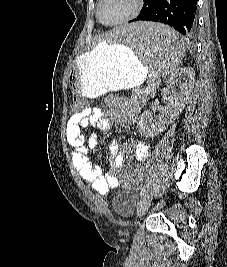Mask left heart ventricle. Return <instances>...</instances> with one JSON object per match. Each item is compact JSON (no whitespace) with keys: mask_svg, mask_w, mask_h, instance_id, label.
Returning a JSON list of instances; mask_svg holds the SVG:
<instances>
[{"mask_svg":"<svg viewBox=\"0 0 227 267\" xmlns=\"http://www.w3.org/2000/svg\"><path fill=\"white\" fill-rule=\"evenodd\" d=\"M134 6L135 0H103L101 18L106 23L117 21L128 15Z\"/></svg>","mask_w":227,"mask_h":267,"instance_id":"1","label":"left heart ventricle"}]
</instances>
